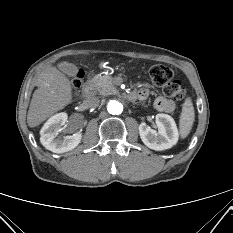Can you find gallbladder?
<instances>
[{
    "instance_id": "gallbladder-1",
    "label": "gallbladder",
    "mask_w": 233,
    "mask_h": 233,
    "mask_svg": "<svg viewBox=\"0 0 233 233\" xmlns=\"http://www.w3.org/2000/svg\"><path fill=\"white\" fill-rule=\"evenodd\" d=\"M59 69L68 76H75L78 73V67L72 63L62 62L58 65Z\"/></svg>"
}]
</instances>
